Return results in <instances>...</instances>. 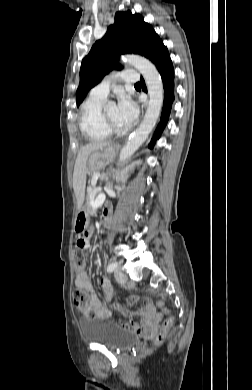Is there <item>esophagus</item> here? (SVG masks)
I'll use <instances>...</instances> for the list:
<instances>
[{
    "label": "esophagus",
    "instance_id": "esophagus-1",
    "mask_svg": "<svg viewBox=\"0 0 252 390\" xmlns=\"http://www.w3.org/2000/svg\"><path fill=\"white\" fill-rule=\"evenodd\" d=\"M146 106H147V102H145V103L143 104V109H146Z\"/></svg>",
    "mask_w": 252,
    "mask_h": 390
}]
</instances>
